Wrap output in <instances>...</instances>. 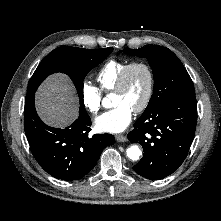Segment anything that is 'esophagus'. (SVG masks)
<instances>
[{"label": "esophagus", "mask_w": 221, "mask_h": 221, "mask_svg": "<svg viewBox=\"0 0 221 221\" xmlns=\"http://www.w3.org/2000/svg\"><path fill=\"white\" fill-rule=\"evenodd\" d=\"M115 138L118 142H126L127 141V137L123 134H117L115 136Z\"/></svg>", "instance_id": "34e87169"}]
</instances>
